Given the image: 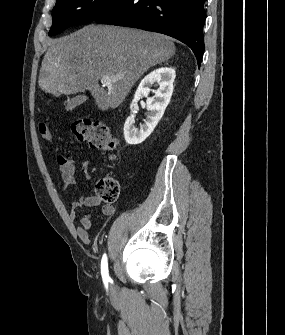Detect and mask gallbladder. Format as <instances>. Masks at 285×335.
<instances>
[{
  "label": "gallbladder",
  "mask_w": 285,
  "mask_h": 335,
  "mask_svg": "<svg viewBox=\"0 0 285 335\" xmlns=\"http://www.w3.org/2000/svg\"><path fill=\"white\" fill-rule=\"evenodd\" d=\"M82 104V98L81 96H76V98H70L66 104L65 110L69 112V110H74V108H77V106H80Z\"/></svg>",
  "instance_id": "1"
}]
</instances>
